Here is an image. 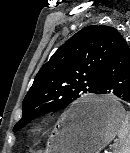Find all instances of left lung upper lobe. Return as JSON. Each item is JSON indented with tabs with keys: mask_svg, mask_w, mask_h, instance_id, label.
I'll return each mask as SVG.
<instances>
[{
	"mask_svg": "<svg viewBox=\"0 0 130 153\" xmlns=\"http://www.w3.org/2000/svg\"><path fill=\"white\" fill-rule=\"evenodd\" d=\"M122 38L113 27L91 25L68 39L37 73L13 131L82 100L86 94H97L103 70Z\"/></svg>",
	"mask_w": 130,
	"mask_h": 153,
	"instance_id": "obj_1",
	"label": "left lung upper lobe"
}]
</instances>
